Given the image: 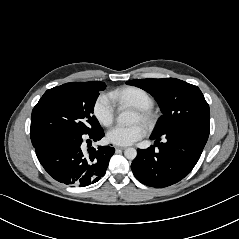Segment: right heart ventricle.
Wrapping results in <instances>:
<instances>
[{
    "mask_svg": "<svg viewBox=\"0 0 239 239\" xmlns=\"http://www.w3.org/2000/svg\"><path fill=\"white\" fill-rule=\"evenodd\" d=\"M111 97L118 103L127 104L134 108L151 109L152 97L143 89L126 87L112 92Z\"/></svg>",
    "mask_w": 239,
    "mask_h": 239,
    "instance_id": "1",
    "label": "right heart ventricle"
}]
</instances>
